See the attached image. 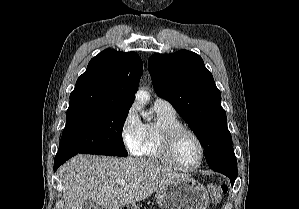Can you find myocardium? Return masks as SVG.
I'll use <instances>...</instances> for the list:
<instances>
[{"instance_id": "myocardium-1", "label": "myocardium", "mask_w": 299, "mask_h": 209, "mask_svg": "<svg viewBox=\"0 0 299 209\" xmlns=\"http://www.w3.org/2000/svg\"><path fill=\"white\" fill-rule=\"evenodd\" d=\"M182 134H189L193 136L200 146L201 157L199 162L194 166L182 165L175 158L176 142ZM162 154L165 162L170 166L183 171H193L200 168L204 163L206 156V147L201 137L195 131L184 126H177L169 128L162 133Z\"/></svg>"}]
</instances>
